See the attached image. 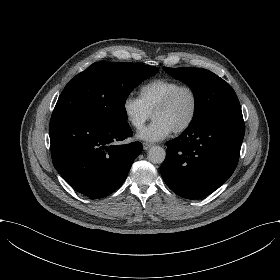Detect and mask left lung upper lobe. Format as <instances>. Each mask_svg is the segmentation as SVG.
<instances>
[{
  "label": "left lung upper lobe",
  "instance_id": "1",
  "mask_svg": "<svg viewBox=\"0 0 280 280\" xmlns=\"http://www.w3.org/2000/svg\"><path fill=\"white\" fill-rule=\"evenodd\" d=\"M163 69L173 78L187 84L193 91L194 116L188 127L209 117L241 109L232 87L211 71L202 68Z\"/></svg>",
  "mask_w": 280,
  "mask_h": 280
}]
</instances>
